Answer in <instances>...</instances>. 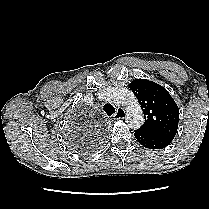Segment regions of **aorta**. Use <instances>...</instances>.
<instances>
[{
  "label": "aorta",
  "mask_w": 209,
  "mask_h": 209,
  "mask_svg": "<svg viewBox=\"0 0 209 209\" xmlns=\"http://www.w3.org/2000/svg\"><path fill=\"white\" fill-rule=\"evenodd\" d=\"M105 98L113 103L126 106V123L131 129H139L142 126L144 122L143 111L131 90L127 88H111L106 91Z\"/></svg>",
  "instance_id": "1"
}]
</instances>
